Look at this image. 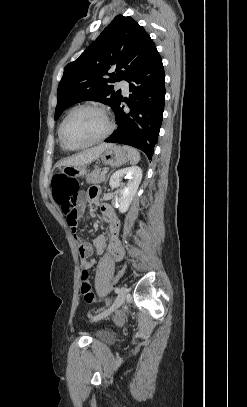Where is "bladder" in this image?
Here are the masks:
<instances>
[{
	"mask_svg": "<svg viewBox=\"0 0 247 407\" xmlns=\"http://www.w3.org/2000/svg\"><path fill=\"white\" fill-rule=\"evenodd\" d=\"M92 339L101 342H110L112 340V334L106 330H97L92 334Z\"/></svg>",
	"mask_w": 247,
	"mask_h": 407,
	"instance_id": "bladder-1",
	"label": "bladder"
}]
</instances>
